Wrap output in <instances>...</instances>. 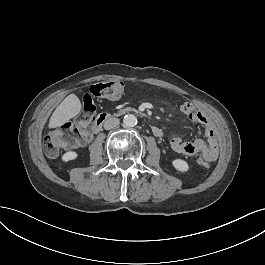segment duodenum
Masks as SVG:
<instances>
[{
	"label": "duodenum",
	"instance_id": "obj_1",
	"mask_svg": "<svg viewBox=\"0 0 265 265\" xmlns=\"http://www.w3.org/2000/svg\"><path fill=\"white\" fill-rule=\"evenodd\" d=\"M110 117L109 114H106V113H103V114H100L96 119H95V122H94V126L93 128L95 130H97V132L99 133L102 128H103V125L104 123L108 120V118ZM151 130L153 132V134L156 136V137H162L163 136V131L161 128L157 127V126H152L151 127Z\"/></svg>",
	"mask_w": 265,
	"mask_h": 265
}]
</instances>
